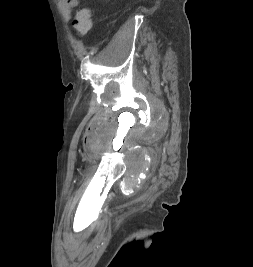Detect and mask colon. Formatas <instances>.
<instances>
[{"label":"colon","instance_id":"obj_1","mask_svg":"<svg viewBox=\"0 0 253 267\" xmlns=\"http://www.w3.org/2000/svg\"><path fill=\"white\" fill-rule=\"evenodd\" d=\"M73 26L79 34H87L92 26L91 11L87 8L79 9L73 19Z\"/></svg>","mask_w":253,"mask_h":267}]
</instances>
